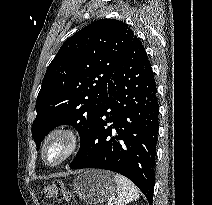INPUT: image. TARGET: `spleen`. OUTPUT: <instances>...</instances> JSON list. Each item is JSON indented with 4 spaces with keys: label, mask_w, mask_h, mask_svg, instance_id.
Returning a JSON list of instances; mask_svg holds the SVG:
<instances>
[{
    "label": "spleen",
    "mask_w": 212,
    "mask_h": 205,
    "mask_svg": "<svg viewBox=\"0 0 212 205\" xmlns=\"http://www.w3.org/2000/svg\"><path fill=\"white\" fill-rule=\"evenodd\" d=\"M114 178L117 183L118 193L117 198L114 200L115 205H126L139 199V190L128 178L120 174H115Z\"/></svg>",
    "instance_id": "3e777b00"
}]
</instances>
